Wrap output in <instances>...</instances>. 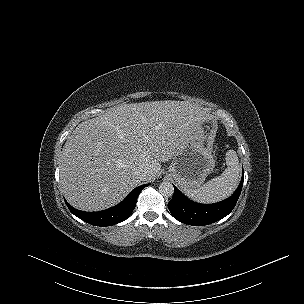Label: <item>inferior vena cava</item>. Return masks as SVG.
<instances>
[{
  "mask_svg": "<svg viewBox=\"0 0 304 304\" xmlns=\"http://www.w3.org/2000/svg\"><path fill=\"white\" fill-rule=\"evenodd\" d=\"M136 175L141 181H145L148 177V171L145 169H137Z\"/></svg>",
  "mask_w": 304,
  "mask_h": 304,
  "instance_id": "inferior-vena-cava-1",
  "label": "inferior vena cava"
}]
</instances>
